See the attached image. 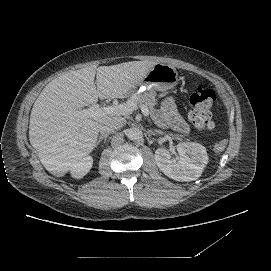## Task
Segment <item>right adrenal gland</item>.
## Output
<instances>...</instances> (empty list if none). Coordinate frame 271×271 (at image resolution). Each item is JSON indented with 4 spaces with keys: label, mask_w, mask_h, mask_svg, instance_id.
I'll list each match as a JSON object with an SVG mask.
<instances>
[{
    "label": "right adrenal gland",
    "mask_w": 271,
    "mask_h": 271,
    "mask_svg": "<svg viewBox=\"0 0 271 271\" xmlns=\"http://www.w3.org/2000/svg\"><path fill=\"white\" fill-rule=\"evenodd\" d=\"M107 135H101L100 137H99V139L97 140V143H96V148H98L99 147V145L103 142V144H104V147H106V145H107Z\"/></svg>",
    "instance_id": "2a0ac1e0"
}]
</instances>
